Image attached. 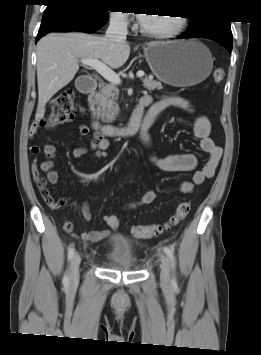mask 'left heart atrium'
Masks as SVG:
<instances>
[{
    "instance_id": "obj_1",
    "label": "left heart atrium",
    "mask_w": 261,
    "mask_h": 355,
    "mask_svg": "<svg viewBox=\"0 0 261 355\" xmlns=\"http://www.w3.org/2000/svg\"><path fill=\"white\" fill-rule=\"evenodd\" d=\"M146 16H147V15H146ZM146 16H144V15H139V16H138L141 23L143 22V20L145 19Z\"/></svg>"
}]
</instances>
